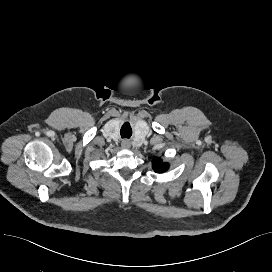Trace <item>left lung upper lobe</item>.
I'll return each mask as SVG.
<instances>
[{
	"label": "left lung upper lobe",
	"instance_id": "obj_1",
	"mask_svg": "<svg viewBox=\"0 0 272 272\" xmlns=\"http://www.w3.org/2000/svg\"><path fill=\"white\" fill-rule=\"evenodd\" d=\"M153 169L157 173H162L168 169V165L166 163H162L160 158H156L153 160Z\"/></svg>",
	"mask_w": 272,
	"mask_h": 272
}]
</instances>
